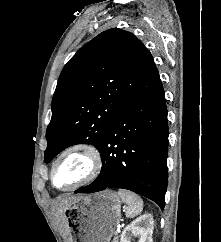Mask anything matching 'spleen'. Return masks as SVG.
Returning a JSON list of instances; mask_svg holds the SVG:
<instances>
[{
    "label": "spleen",
    "instance_id": "obj_1",
    "mask_svg": "<svg viewBox=\"0 0 221 242\" xmlns=\"http://www.w3.org/2000/svg\"><path fill=\"white\" fill-rule=\"evenodd\" d=\"M118 195L122 201L127 205L125 215L128 218H133L139 215L143 210V201L135 193L127 190H119Z\"/></svg>",
    "mask_w": 221,
    "mask_h": 242
}]
</instances>
